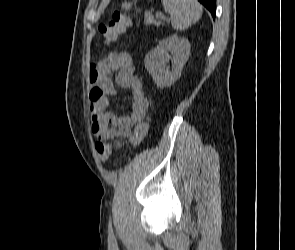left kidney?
Wrapping results in <instances>:
<instances>
[{
	"instance_id": "5707ae66",
	"label": "left kidney",
	"mask_w": 295,
	"mask_h": 250,
	"mask_svg": "<svg viewBox=\"0 0 295 250\" xmlns=\"http://www.w3.org/2000/svg\"><path fill=\"white\" fill-rule=\"evenodd\" d=\"M190 48L188 39L171 35L145 56V68L157 87L162 89L170 87L180 77L183 66L189 58ZM169 61L172 62L171 71L168 70Z\"/></svg>"
}]
</instances>
